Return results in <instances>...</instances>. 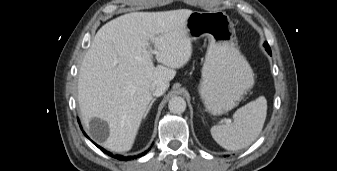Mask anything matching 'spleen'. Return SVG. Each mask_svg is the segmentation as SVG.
I'll return each instance as SVG.
<instances>
[{
  "label": "spleen",
  "mask_w": 337,
  "mask_h": 171,
  "mask_svg": "<svg viewBox=\"0 0 337 171\" xmlns=\"http://www.w3.org/2000/svg\"><path fill=\"white\" fill-rule=\"evenodd\" d=\"M267 115V100L258 97L233 114V121L214 125L211 128L213 139L223 148L231 151L251 145L259 136Z\"/></svg>",
  "instance_id": "3e777b00"
}]
</instances>
